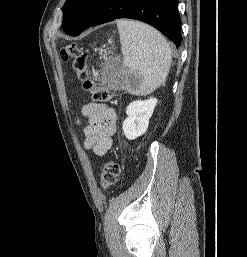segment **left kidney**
Masks as SVG:
<instances>
[{
	"instance_id": "left-kidney-1",
	"label": "left kidney",
	"mask_w": 247,
	"mask_h": 257,
	"mask_svg": "<svg viewBox=\"0 0 247 257\" xmlns=\"http://www.w3.org/2000/svg\"><path fill=\"white\" fill-rule=\"evenodd\" d=\"M157 99L150 97L147 100H136L131 102L126 108L128 117L123 121L122 130L129 140H134L142 136L148 128Z\"/></svg>"
}]
</instances>
